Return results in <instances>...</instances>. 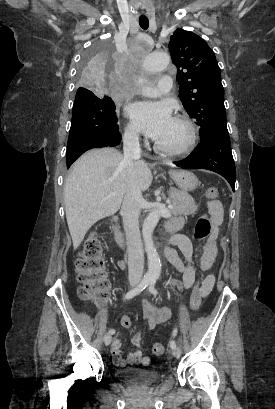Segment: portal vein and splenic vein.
<instances>
[{"instance_id": "1", "label": "portal vein and splenic vein", "mask_w": 275, "mask_h": 409, "mask_svg": "<svg viewBox=\"0 0 275 409\" xmlns=\"http://www.w3.org/2000/svg\"><path fill=\"white\" fill-rule=\"evenodd\" d=\"M110 194H115V192H110ZM168 209H173V205H171V202H168Z\"/></svg>"}]
</instances>
